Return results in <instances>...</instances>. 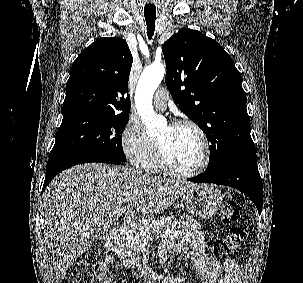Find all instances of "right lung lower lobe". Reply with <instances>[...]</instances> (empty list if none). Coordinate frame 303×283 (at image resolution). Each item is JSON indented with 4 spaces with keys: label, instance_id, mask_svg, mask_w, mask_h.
I'll list each match as a JSON object with an SVG mask.
<instances>
[{
    "label": "right lung lower lobe",
    "instance_id": "1",
    "mask_svg": "<svg viewBox=\"0 0 303 283\" xmlns=\"http://www.w3.org/2000/svg\"><path fill=\"white\" fill-rule=\"evenodd\" d=\"M91 162L110 163L115 165L123 163L120 160L99 155H70L62 156L55 159H49L47 163L46 176L42 188V193L48 186V184L51 182V180L61 171L74 165Z\"/></svg>",
    "mask_w": 303,
    "mask_h": 283
}]
</instances>
